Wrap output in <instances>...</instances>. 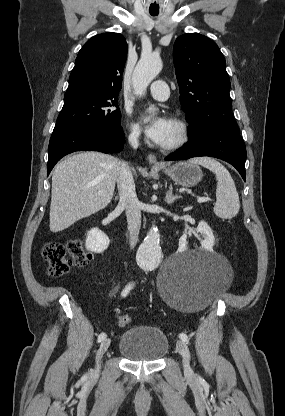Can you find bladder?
Listing matches in <instances>:
<instances>
[{"label":"bladder","instance_id":"obj_1","mask_svg":"<svg viewBox=\"0 0 285 416\" xmlns=\"http://www.w3.org/2000/svg\"><path fill=\"white\" fill-rule=\"evenodd\" d=\"M169 340L161 329L152 325H137L125 330L118 350L126 360L156 362L168 353Z\"/></svg>","mask_w":285,"mask_h":416}]
</instances>
